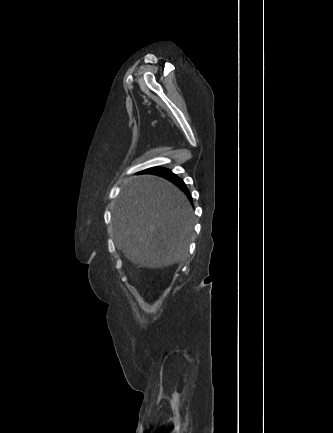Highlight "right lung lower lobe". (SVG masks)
<instances>
[{"instance_id":"obj_1","label":"right lung lower lobe","mask_w":333,"mask_h":433,"mask_svg":"<svg viewBox=\"0 0 333 433\" xmlns=\"http://www.w3.org/2000/svg\"><path fill=\"white\" fill-rule=\"evenodd\" d=\"M141 173L155 174V175L161 176V177L169 180L170 182L175 184L177 187H179L183 192H185L187 194V196L190 198V200H192L190 193H189V190L186 187L183 180L180 179L178 176H176L174 173H172L170 170L165 169V168H161V167H154V168H150V169H147L145 171H142Z\"/></svg>"}]
</instances>
